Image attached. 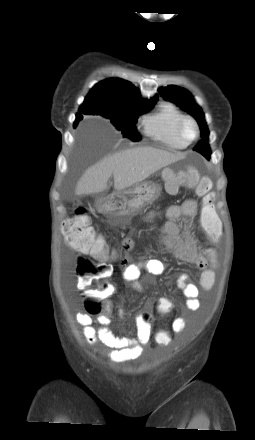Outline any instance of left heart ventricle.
<instances>
[{
  "label": "left heart ventricle",
  "instance_id": "1",
  "mask_svg": "<svg viewBox=\"0 0 255 440\" xmlns=\"http://www.w3.org/2000/svg\"><path fill=\"white\" fill-rule=\"evenodd\" d=\"M184 134L187 138H192L194 135V128L190 124H187L184 127Z\"/></svg>",
  "mask_w": 255,
  "mask_h": 440
}]
</instances>
